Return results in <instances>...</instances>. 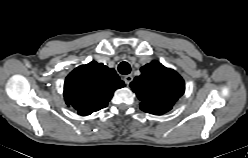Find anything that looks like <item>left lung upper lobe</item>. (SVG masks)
I'll list each match as a JSON object with an SVG mask.
<instances>
[{"mask_svg":"<svg viewBox=\"0 0 248 158\" xmlns=\"http://www.w3.org/2000/svg\"><path fill=\"white\" fill-rule=\"evenodd\" d=\"M130 87L142 101L141 109L147 113L162 115L172 109L185 90L182 77L174 70L152 61L141 68Z\"/></svg>","mask_w":248,"mask_h":158,"instance_id":"1","label":"left lung upper lobe"}]
</instances>
